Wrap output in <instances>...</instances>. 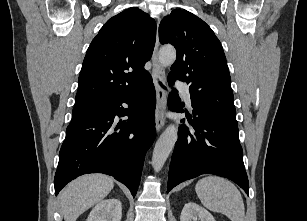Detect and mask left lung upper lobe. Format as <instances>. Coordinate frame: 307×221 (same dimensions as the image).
I'll return each instance as SVG.
<instances>
[{"mask_svg": "<svg viewBox=\"0 0 307 221\" xmlns=\"http://www.w3.org/2000/svg\"><path fill=\"white\" fill-rule=\"evenodd\" d=\"M159 39L177 51L168 78L189 84L193 103L237 124L226 57L211 28L187 10L177 9L162 19Z\"/></svg>", "mask_w": 307, "mask_h": 221, "instance_id": "obj_1", "label": "left lung upper lobe"}]
</instances>
